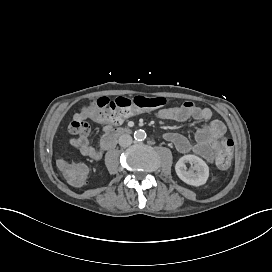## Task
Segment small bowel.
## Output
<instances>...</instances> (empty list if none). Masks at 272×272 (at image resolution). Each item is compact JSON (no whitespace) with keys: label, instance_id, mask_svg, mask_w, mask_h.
I'll return each mask as SVG.
<instances>
[{"label":"small bowel","instance_id":"1","mask_svg":"<svg viewBox=\"0 0 272 272\" xmlns=\"http://www.w3.org/2000/svg\"><path fill=\"white\" fill-rule=\"evenodd\" d=\"M135 113L138 112L132 114ZM155 115L160 119L176 122H185L188 120H194L198 123L206 122V125L200 126L196 130L194 141L190 140L186 135L176 132L166 133L165 139L172 143L179 153L187 154L193 152L208 162L214 161L216 146L209 143V134L217 131L220 132L224 138L226 127L222 121L217 119L212 120V110L210 108L199 107L192 101H185L177 106L161 108L155 112ZM89 119L99 123H106L104 121V115L98 114L94 110H92ZM78 150L81 155L89 159L97 161L102 158V152L91 144H84L82 147H79Z\"/></svg>","mask_w":272,"mask_h":272}]
</instances>
